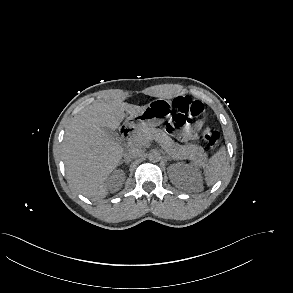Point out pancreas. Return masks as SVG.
<instances>
[{
  "instance_id": "1",
  "label": "pancreas",
  "mask_w": 293,
  "mask_h": 293,
  "mask_svg": "<svg viewBox=\"0 0 293 293\" xmlns=\"http://www.w3.org/2000/svg\"><path fill=\"white\" fill-rule=\"evenodd\" d=\"M153 139H157L162 148L173 159H188L196 166H200L207 159V154L201 146L194 144L180 145L174 142L161 129L138 127L133 132L132 140L138 146H144Z\"/></svg>"
}]
</instances>
